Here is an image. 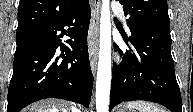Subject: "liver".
Wrapping results in <instances>:
<instances>
[{"mask_svg": "<svg viewBox=\"0 0 193 112\" xmlns=\"http://www.w3.org/2000/svg\"><path fill=\"white\" fill-rule=\"evenodd\" d=\"M74 112L73 107H69L66 103L59 100H43L25 108L22 112Z\"/></svg>", "mask_w": 193, "mask_h": 112, "instance_id": "obj_1", "label": "liver"}]
</instances>
